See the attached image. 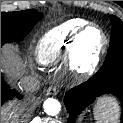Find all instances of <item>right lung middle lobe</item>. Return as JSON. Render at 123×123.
<instances>
[{"label": "right lung middle lobe", "instance_id": "obj_1", "mask_svg": "<svg viewBox=\"0 0 123 123\" xmlns=\"http://www.w3.org/2000/svg\"><path fill=\"white\" fill-rule=\"evenodd\" d=\"M42 16L35 9L1 12V46L22 40Z\"/></svg>", "mask_w": 123, "mask_h": 123}]
</instances>
